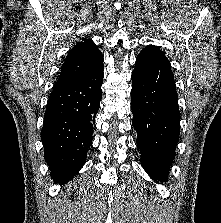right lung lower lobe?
<instances>
[{"instance_id":"98d812e1","label":"right lung lower lobe","mask_w":221,"mask_h":223,"mask_svg":"<svg viewBox=\"0 0 221 223\" xmlns=\"http://www.w3.org/2000/svg\"><path fill=\"white\" fill-rule=\"evenodd\" d=\"M104 66L73 84L54 88L44 116L41 140L53 181L66 183L84 165L102 97Z\"/></svg>"}]
</instances>
